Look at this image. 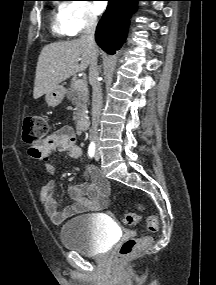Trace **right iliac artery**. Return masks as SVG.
Wrapping results in <instances>:
<instances>
[{
	"label": "right iliac artery",
	"mask_w": 216,
	"mask_h": 285,
	"mask_svg": "<svg viewBox=\"0 0 216 285\" xmlns=\"http://www.w3.org/2000/svg\"><path fill=\"white\" fill-rule=\"evenodd\" d=\"M95 154V143L92 141L88 148V155L92 158Z\"/></svg>",
	"instance_id": "82829eb1"
}]
</instances>
